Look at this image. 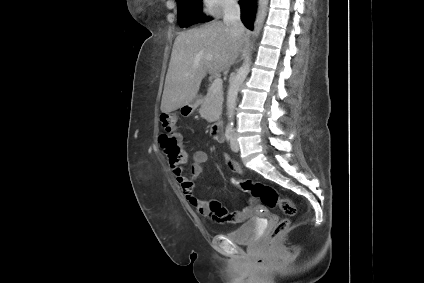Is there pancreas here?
<instances>
[{
	"mask_svg": "<svg viewBox=\"0 0 424 283\" xmlns=\"http://www.w3.org/2000/svg\"><path fill=\"white\" fill-rule=\"evenodd\" d=\"M223 92L212 93L209 89L207 95L201 100L199 114L209 122L217 121L222 113Z\"/></svg>",
	"mask_w": 424,
	"mask_h": 283,
	"instance_id": "obj_1",
	"label": "pancreas"
}]
</instances>
